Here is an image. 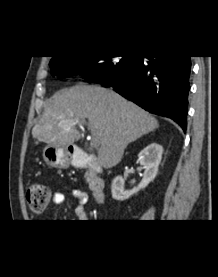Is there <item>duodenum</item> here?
Returning a JSON list of instances; mask_svg holds the SVG:
<instances>
[{
  "mask_svg": "<svg viewBox=\"0 0 218 277\" xmlns=\"http://www.w3.org/2000/svg\"><path fill=\"white\" fill-rule=\"evenodd\" d=\"M71 164L79 169H87L90 171L88 178V186L96 198L101 201L105 193V181L98 175L100 169L98 160L91 154L83 150H71L69 152Z\"/></svg>",
  "mask_w": 218,
  "mask_h": 277,
  "instance_id": "410a0bca",
  "label": "duodenum"
}]
</instances>
